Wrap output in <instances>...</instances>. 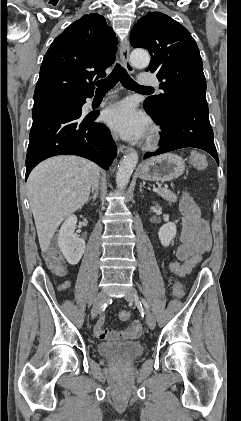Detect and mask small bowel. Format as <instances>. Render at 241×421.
Returning a JSON list of instances; mask_svg holds the SVG:
<instances>
[{
    "label": "small bowel",
    "mask_w": 241,
    "mask_h": 421,
    "mask_svg": "<svg viewBox=\"0 0 241 421\" xmlns=\"http://www.w3.org/2000/svg\"><path fill=\"white\" fill-rule=\"evenodd\" d=\"M179 206L182 215V230L177 257L180 260H186L193 255L205 254L211 247V236L209 226L201 217L199 207L187 192L183 193ZM67 285L65 284V287ZM141 330L139 320L132 321L125 330L107 329L104 317H101L94 327L96 337L101 340H135L140 336Z\"/></svg>",
    "instance_id": "obj_1"
}]
</instances>
